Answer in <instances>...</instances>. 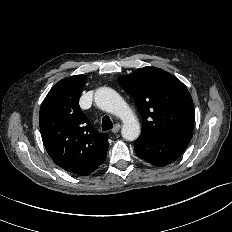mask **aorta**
I'll return each instance as SVG.
<instances>
[{"label": "aorta", "mask_w": 232, "mask_h": 232, "mask_svg": "<svg viewBox=\"0 0 232 232\" xmlns=\"http://www.w3.org/2000/svg\"><path fill=\"white\" fill-rule=\"evenodd\" d=\"M94 101L96 105L120 118L123 122L122 137L127 141H134L140 135V124L128 104L112 88L101 87L96 90Z\"/></svg>", "instance_id": "obj_1"}]
</instances>
